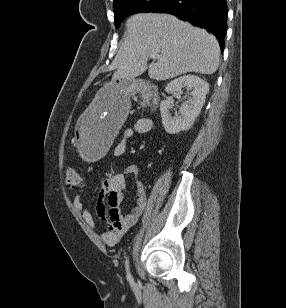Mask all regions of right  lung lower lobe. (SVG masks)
<instances>
[{"mask_svg":"<svg viewBox=\"0 0 286 308\" xmlns=\"http://www.w3.org/2000/svg\"><path fill=\"white\" fill-rule=\"evenodd\" d=\"M152 12L169 13L209 30L216 36L223 52L228 15L226 0H167Z\"/></svg>","mask_w":286,"mask_h":308,"instance_id":"right-lung-lower-lobe-1","label":"right lung lower lobe"}]
</instances>
